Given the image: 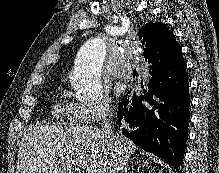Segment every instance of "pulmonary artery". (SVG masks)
Here are the masks:
<instances>
[{"label": "pulmonary artery", "instance_id": "e3ab8cb5", "mask_svg": "<svg viewBox=\"0 0 219 173\" xmlns=\"http://www.w3.org/2000/svg\"><path fill=\"white\" fill-rule=\"evenodd\" d=\"M129 73H130L129 68H122L121 66H116L111 71V74L115 78H124V77L128 76Z\"/></svg>", "mask_w": 219, "mask_h": 173}]
</instances>
